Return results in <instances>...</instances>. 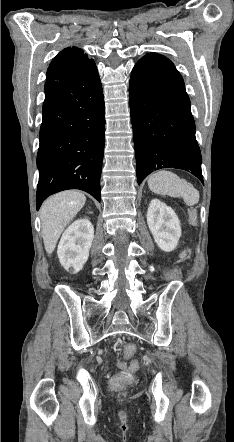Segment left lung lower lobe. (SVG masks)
<instances>
[{
	"mask_svg": "<svg viewBox=\"0 0 234 442\" xmlns=\"http://www.w3.org/2000/svg\"><path fill=\"white\" fill-rule=\"evenodd\" d=\"M129 103L138 184L162 168L186 170L203 182L190 100L169 59L150 53L134 66Z\"/></svg>",
	"mask_w": 234,
	"mask_h": 442,
	"instance_id": "left-lung-lower-lobe-1",
	"label": "left lung lower lobe"
}]
</instances>
